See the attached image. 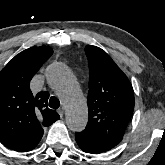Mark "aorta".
Returning a JSON list of instances; mask_svg holds the SVG:
<instances>
[{
    "label": "aorta",
    "mask_w": 165,
    "mask_h": 165,
    "mask_svg": "<svg viewBox=\"0 0 165 165\" xmlns=\"http://www.w3.org/2000/svg\"><path fill=\"white\" fill-rule=\"evenodd\" d=\"M47 81L59 92L66 111V124L74 132L82 131L88 121L86 100L72 75L62 64L48 68Z\"/></svg>",
    "instance_id": "obj_1"
}]
</instances>
